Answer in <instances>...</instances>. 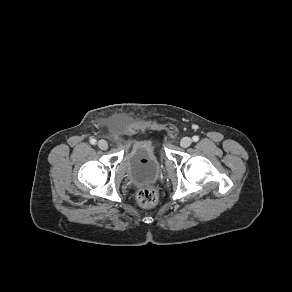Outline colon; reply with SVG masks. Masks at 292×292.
<instances>
[{
    "label": "colon",
    "instance_id": "1",
    "mask_svg": "<svg viewBox=\"0 0 292 292\" xmlns=\"http://www.w3.org/2000/svg\"><path fill=\"white\" fill-rule=\"evenodd\" d=\"M158 199V190L152 186L141 188L137 193V200L142 207H153L157 204Z\"/></svg>",
    "mask_w": 292,
    "mask_h": 292
}]
</instances>
